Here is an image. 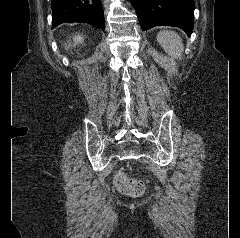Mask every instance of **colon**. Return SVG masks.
<instances>
[{
  "mask_svg": "<svg viewBox=\"0 0 240 238\" xmlns=\"http://www.w3.org/2000/svg\"><path fill=\"white\" fill-rule=\"evenodd\" d=\"M116 187L124 194L129 196H140L145 192V185L141 180L127 177L123 172L115 176Z\"/></svg>",
  "mask_w": 240,
  "mask_h": 238,
  "instance_id": "obj_1",
  "label": "colon"
}]
</instances>
